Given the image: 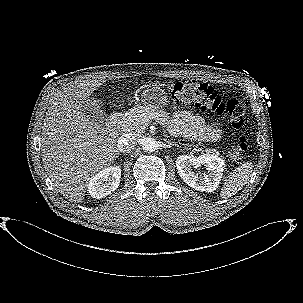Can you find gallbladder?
Listing matches in <instances>:
<instances>
[{
    "label": "gallbladder",
    "mask_w": 303,
    "mask_h": 303,
    "mask_svg": "<svg viewBox=\"0 0 303 303\" xmlns=\"http://www.w3.org/2000/svg\"><path fill=\"white\" fill-rule=\"evenodd\" d=\"M83 111L98 124H103L106 120V115L99 110H93L91 107L85 106L83 107Z\"/></svg>",
    "instance_id": "1"
}]
</instances>
